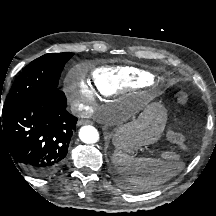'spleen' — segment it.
Masks as SVG:
<instances>
[{
  "instance_id": "obj_1",
  "label": "spleen",
  "mask_w": 216,
  "mask_h": 216,
  "mask_svg": "<svg viewBox=\"0 0 216 216\" xmlns=\"http://www.w3.org/2000/svg\"><path fill=\"white\" fill-rule=\"evenodd\" d=\"M112 161L119 174L138 189H151L177 175L178 170L169 162L154 158H134L116 150Z\"/></svg>"
}]
</instances>
